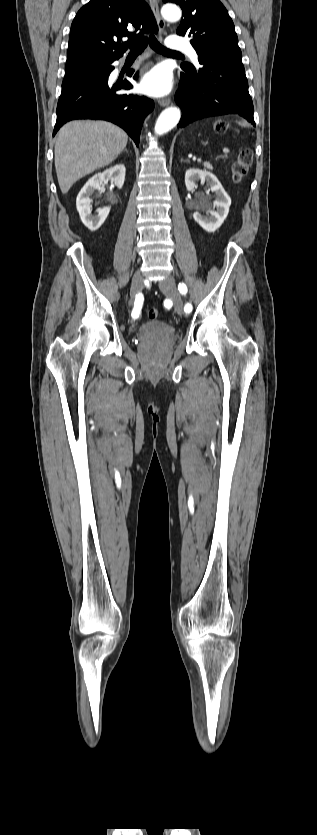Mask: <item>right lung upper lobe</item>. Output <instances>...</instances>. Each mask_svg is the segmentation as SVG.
I'll use <instances>...</instances> for the list:
<instances>
[{
    "mask_svg": "<svg viewBox=\"0 0 317 835\" xmlns=\"http://www.w3.org/2000/svg\"><path fill=\"white\" fill-rule=\"evenodd\" d=\"M147 31L157 33L158 29L146 2L90 0L72 22L67 56L98 54L105 60L118 59L127 45ZM124 37L128 40L122 43Z\"/></svg>",
    "mask_w": 317,
    "mask_h": 835,
    "instance_id": "obj_1",
    "label": "right lung upper lobe"
}]
</instances>
